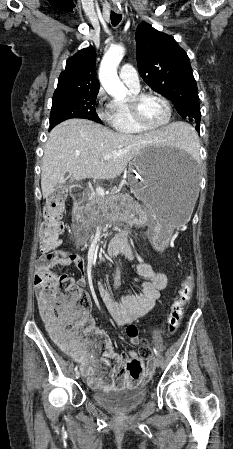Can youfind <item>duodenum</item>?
I'll use <instances>...</instances> for the list:
<instances>
[{
    "label": "duodenum",
    "instance_id": "410a0bca",
    "mask_svg": "<svg viewBox=\"0 0 233 449\" xmlns=\"http://www.w3.org/2000/svg\"><path fill=\"white\" fill-rule=\"evenodd\" d=\"M71 193L74 198L76 214L79 213L81 204L86 200L87 192L85 186H72ZM117 252L130 253L131 249L124 232L118 233L108 244V253L114 255Z\"/></svg>",
    "mask_w": 233,
    "mask_h": 449
}]
</instances>
